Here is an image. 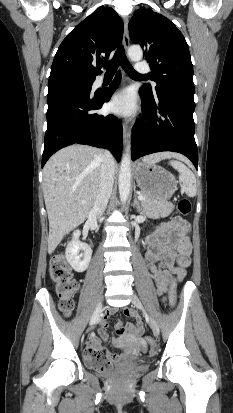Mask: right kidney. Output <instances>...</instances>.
I'll return each instance as SVG.
<instances>
[{
    "mask_svg": "<svg viewBox=\"0 0 233 413\" xmlns=\"http://www.w3.org/2000/svg\"><path fill=\"white\" fill-rule=\"evenodd\" d=\"M80 230H75L72 235V240L66 247L65 256L68 263L76 272H84L91 261L92 250L86 243L79 241ZM83 251V253H80Z\"/></svg>",
    "mask_w": 233,
    "mask_h": 413,
    "instance_id": "ca27d5eb",
    "label": "right kidney"
}]
</instances>
